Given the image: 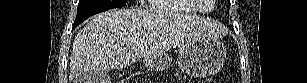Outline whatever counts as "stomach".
<instances>
[{
    "instance_id": "stomach-1",
    "label": "stomach",
    "mask_w": 307,
    "mask_h": 83,
    "mask_svg": "<svg viewBox=\"0 0 307 83\" xmlns=\"http://www.w3.org/2000/svg\"><path fill=\"white\" fill-rule=\"evenodd\" d=\"M226 48L217 40H197L184 45L178 55V68L193 77H205L217 73L226 59ZM172 60L166 54L144 59L145 67L151 71H163L171 66Z\"/></svg>"
}]
</instances>
